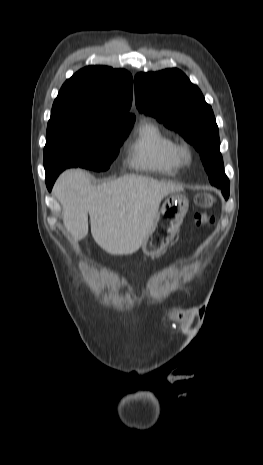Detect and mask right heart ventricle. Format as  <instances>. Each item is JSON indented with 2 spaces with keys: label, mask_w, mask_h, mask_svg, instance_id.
I'll use <instances>...</instances> for the list:
<instances>
[{
  "label": "right heart ventricle",
  "mask_w": 263,
  "mask_h": 465,
  "mask_svg": "<svg viewBox=\"0 0 263 465\" xmlns=\"http://www.w3.org/2000/svg\"><path fill=\"white\" fill-rule=\"evenodd\" d=\"M176 146V142L158 124L144 119L128 145L127 162L139 171L174 176L182 166Z\"/></svg>",
  "instance_id": "obj_1"
}]
</instances>
